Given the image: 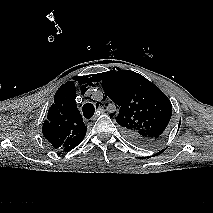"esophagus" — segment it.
<instances>
[{
  "label": "esophagus",
  "instance_id": "obj_1",
  "mask_svg": "<svg viewBox=\"0 0 213 213\" xmlns=\"http://www.w3.org/2000/svg\"><path fill=\"white\" fill-rule=\"evenodd\" d=\"M98 112L104 113V112H106V110L104 109L103 106L99 105V106H98ZM96 118H97V115H95V116L91 119V121H95Z\"/></svg>",
  "mask_w": 213,
  "mask_h": 213
}]
</instances>
